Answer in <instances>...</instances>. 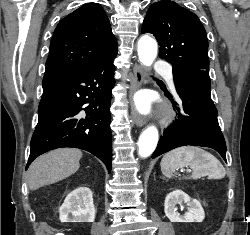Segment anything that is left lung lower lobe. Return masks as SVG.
<instances>
[{
    "mask_svg": "<svg viewBox=\"0 0 250 235\" xmlns=\"http://www.w3.org/2000/svg\"><path fill=\"white\" fill-rule=\"evenodd\" d=\"M174 83L182 100V113L179 109L174 127L165 130L152 158L180 146L193 145L212 148L226 161L225 139L211 99L209 73L186 72L174 77Z\"/></svg>",
    "mask_w": 250,
    "mask_h": 235,
    "instance_id": "left-lung-lower-lobe-1",
    "label": "left lung lower lobe"
}]
</instances>
